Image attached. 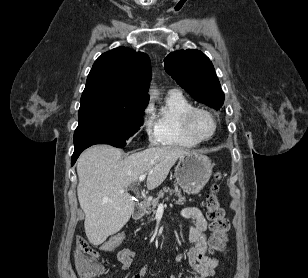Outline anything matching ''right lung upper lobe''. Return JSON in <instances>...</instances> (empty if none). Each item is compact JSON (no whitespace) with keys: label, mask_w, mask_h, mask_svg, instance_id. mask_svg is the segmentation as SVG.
I'll return each instance as SVG.
<instances>
[{"label":"right lung upper lobe","mask_w":308,"mask_h":278,"mask_svg":"<svg viewBox=\"0 0 308 278\" xmlns=\"http://www.w3.org/2000/svg\"><path fill=\"white\" fill-rule=\"evenodd\" d=\"M150 78L147 54L125 47L103 53L88 75L78 115L147 106Z\"/></svg>","instance_id":"cb5924a9"}]
</instances>
